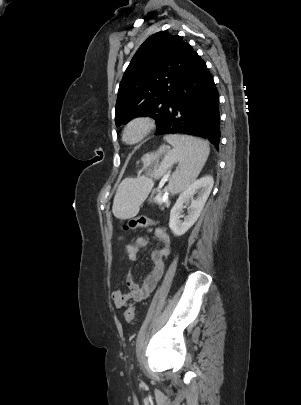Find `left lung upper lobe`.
<instances>
[{
	"mask_svg": "<svg viewBox=\"0 0 301 405\" xmlns=\"http://www.w3.org/2000/svg\"><path fill=\"white\" fill-rule=\"evenodd\" d=\"M194 53L178 35L165 31L151 35L135 53L120 82L116 125L149 115L160 129Z\"/></svg>",
	"mask_w": 301,
	"mask_h": 405,
	"instance_id": "1",
	"label": "left lung upper lobe"
}]
</instances>
